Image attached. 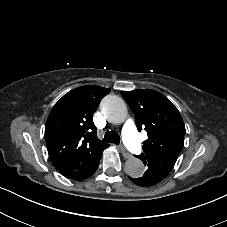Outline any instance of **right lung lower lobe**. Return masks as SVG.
Instances as JSON below:
<instances>
[{
	"instance_id": "1",
	"label": "right lung lower lobe",
	"mask_w": 227,
	"mask_h": 227,
	"mask_svg": "<svg viewBox=\"0 0 227 227\" xmlns=\"http://www.w3.org/2000/svg\"><path fill=\"white\" fill-rule=\"evenodd\" d=\"M101 155L102 154L89 158L85 154L80 153V155L77 156L69 165L56 169L67 178L84 180L96 171ZM86 161H88V163L83 167V163Z\"/></svg>"
}]
</instances>
